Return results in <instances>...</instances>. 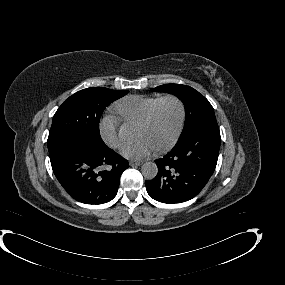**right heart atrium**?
I'll use <instances>...</instances> for the list:
<instances>
[{
  "mask_svg": "<svg viewBox=\"0 0 285 285\" xmlns=\"http://www.w3.org/2000/svg\"><path fill=\"white\" fill-rule=\"evenodd\" d=\"M100 133L104 142L112 148L120 147L125 141L118 120L111 115L104 117L101 121Z\"/></svg>",
  "mask_w": 285,
  "mask_h": 285,
  "instance_id": "right-heart-atrium-1",
  "label": "right heart atrium"
}]
</instances>
